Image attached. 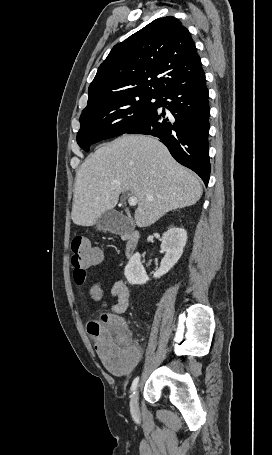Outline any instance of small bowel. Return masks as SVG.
<instances>
[{"mask_svg":"<svg viewBox=\"0 0 272 455\" xmlns=\"http://www.w3.org/2000/svg\"><path fill=\"white\" fill-rule=\"evenodd\" d=\"M129 295V288L123 281H118L114 284L112 288V296L116 299V302L110 308L113 319L118 320L117 317L127 310ZM136 351L137 354L132 367L139 361L141 356L140 349L136 348Z\"/></svg>","mask_w":272,"mask_h":455,"instance_id":"obj_1","label":"small bowel"}]
</instances>
